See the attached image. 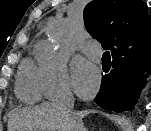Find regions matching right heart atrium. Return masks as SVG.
I'll return each mask as SVG.
<instances>
[{"mask_svg": "<svg viewBox=\"0 0 151 131\" xmlns=\"http://www.w3.org/2000/svg\"><path fill=\"white\" fill-rule=\"evenodd\" d=\"M43 94L49 99L71 95L66 57L56 51L45 53L38 65Z\"/></svg>", "mask_w": 151, "mask_h": 131, "instance_id": "obj_1", "label": "right heart atrium"}]
</instances>
